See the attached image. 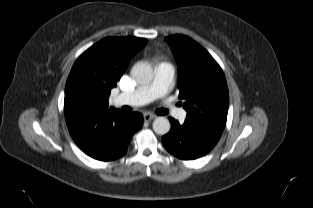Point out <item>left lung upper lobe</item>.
Here are the masks:
<instances>
[{
    "label": "left lung upper lobe",
    "mask_w": 313,
    "mask_h": 208,
    "mask_svg": "<svg viewBox=\"0 0 313 208\" xmlns=\"http://www.w3.org/2000/svg\"><path fill=\"white\" fill-rule=\"evenodd\" d=\"M178 66L179 98L184 101L186 120L199 126L223 130L227 120L229 93L225 76L213 57L184 35L165 38Z\"/></svg>",
    "instance_id": "left-lung-upper-lobe-1"
}]
</instances>
